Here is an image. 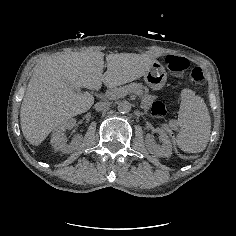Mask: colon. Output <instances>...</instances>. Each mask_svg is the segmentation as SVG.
Returning a JSON list of instances; mask_svg holds the SVG:
<instances>
[{
  "instance_id": "5ec220e1",
  "label": "colon",
  "mask_w": 236,
  "mask_h": 236,
  "mask_svg": "<svg viewBox=\"0 0 236 236\" xmlns=\"http://www.w3.org/2000/svg\"><path fill=\"white\" fill-rule=\"evenodd\" d=\"M165 64L169 71L175 74H182L189 68V61L182 56L167 55ZM189 79L194 84L204 82V72L200 67H194L189 73ZM151 114L157 118H163L166 115V106L162 101H155L151 108Z\"/></svg>"
}]
</instances>
